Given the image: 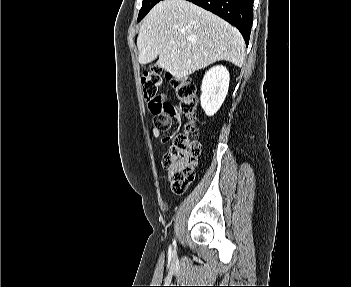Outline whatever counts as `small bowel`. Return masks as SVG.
<instances>
[{"instance_id": "c3829d8e", "label": "small bowel", "mask_w": 351, "mask_h": 287, "mask_svg": "<svg viewBox=\"0 0 351 287\" xmlns=\"http://www.w3.org/2000/svg\"><path fill=\"white\" fill-rule=\"evenodd\" d=\"M173 121L176 123V124H180L181 123V116L180 115H177L173 118ZM151 135L154 136V137H160L162 135V132L158 129H156L155 127L151 129ZM169 137L166 136L164 137V140H168Z\"/></svg>"}]
</instances>
